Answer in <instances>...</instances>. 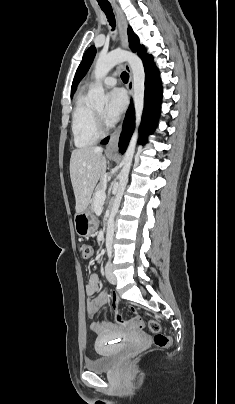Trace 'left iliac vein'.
Instances as JSON below:
<instances>
[{
  "label": "left iliac vein",
  "mask_w": 235,
  "mask_h": 404,
  "mask_svg": "<svg viewBox=\"0 0 235 404\" xmlns=\"http://www.w3.org/2000/svg\"><path fill=\"white\" fill-rule=\"evenodd\" d=\"M105 275H106L107 280H108L111 284L115 285V284L117 283V279H116V276H115L114 273H113V268H112V264H111L110 261L107 262V264H106V267H105Z\"/></svg>",
  "instance_id": "obj_1"
}]
</instances>
